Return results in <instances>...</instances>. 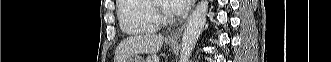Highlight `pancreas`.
<instances>
[{
  "mask_svg": "<svg viewBox=\"0 0 331 62\" xmlns=\"http://www.w3.org/2000/svg\"><path fill=\"white\" fill-rule=\"evenodd\" d=\"M155 59H158V58H156L155 56H149L146 61L147 62H158L159 61V59H158V61H155Z\"/></svg>",
  "mask_w": 331,
  "mask_h": 62,
  "instance_id": "pancreas-1",
  "label": "pancreas"
}]
</instances>
